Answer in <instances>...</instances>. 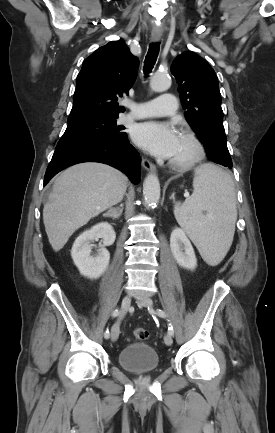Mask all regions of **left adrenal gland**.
<instances>
[{"instance_id": "left-adrenal-gland-1", "label": "left adrenal gland", "mask_w": 275, "mask_h": 433, "mask_svg": "<svg viewBox=\"0 0 275 433\" xmlns=\"http://www.w3.org/2000/svg\"><path fill=\"white\" fill-rule=\"evenodd\" d=\"M170 198L173 199V200H175V198H174V193L172 194V196H171Z\"/></svg>"}]
</instances>
